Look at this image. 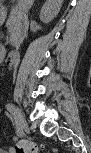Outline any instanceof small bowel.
Instances as JSON below:
<instances>
[{
  "label": "small bowel",
  "instance_id": "c3829d8e",
  "mask_svg": "<svg viewBox=\"0 0 91 153\" xmlns=\"http://www.w3.org/2000/svg\"><path fill=\"white\" fill-rule=\"evenodd\" d=\"M8 152L9 153H14V149L13 148H10Z\"/></svg>",
  "mask_w": 91,
  "mask_h": 153
}]
</instances>
